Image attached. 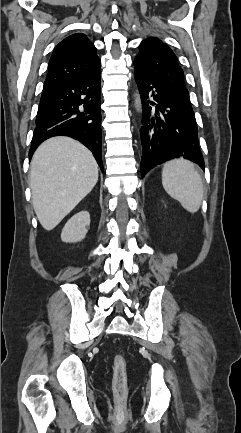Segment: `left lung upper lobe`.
<instances>
[{
    "label": "left lung upper lobe",
    "instance_id": "obj_1",
    "mask_svg": "<svg viewBox=\"0 0 241 433\" xmlns=\"http://www.w3.org/2000/svg\"><path fill=\"white\" fill-rule=\"evenodd\" d=\"M139 49L140 52L134 60L135 71L162 84L194 114L184 72L174 52L156 37L143 40Z\"/></svg>",
    "mask_w": 241,
    "mask_h": 433
}]
</instances>
